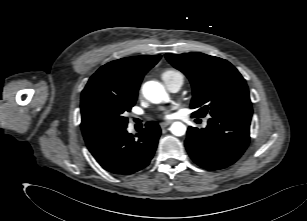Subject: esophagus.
<instances>
[{"label": "esophagus", "mask_w": 307, "mask_h": 221, "mask_svg": "<svg viewBox=\"0 0 307 221\" xmlns=\"http://www.w3.org/2000/svg\"><path fill=\"white\" fill-rule=\"evenodd\" d=\"M172 123V121H165V122H161L160 123V127L163 129V128H166L168 125H170Z\"/></svg>", "instance_id": "esophagus-1"}]
</instances>
